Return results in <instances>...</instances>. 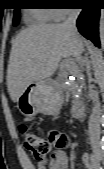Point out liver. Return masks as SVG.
Wrapping results in <instances>:
<instances>
[{
	"label": "liver",
	"mask_w": 104,
	"mask_h": 169,
	"mask_svg": "<svg viewBox=\"0 0 104 169\" xmlns=\"http://www.w3.org/2000/svg\"><path fill=\"white\" fill-rule=\"evenodd\" d=\"M83 41L63 24L32 25L12 41L7 69V88L10 98L17 102L32 82L53 75L62 58H79Z\"/></svg>",
	"instance_id": "obj_1"
}]
</instances>
